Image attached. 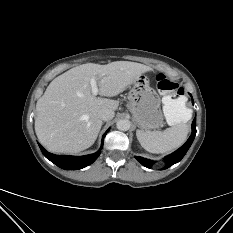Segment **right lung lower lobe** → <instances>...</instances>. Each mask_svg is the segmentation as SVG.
Masks as SVG:
<instances>
[{
  "label": "right lung lower lobe",
  "instance_id": "1",
  "mask_svg": "<svg viewBox=\"0 0 233 233\" xmlns=\"http://www.w3.org/2000/svg\"><path fill=\"white\" fill-rule=\"evenodd\" d=\"M109 130H107L102 137V144L105 135ZM43 155L49 159L52 163L56 164L58 167L65 170H78L82 169L90 164H92L100 155L101 151H98L94 154L86 155V156H68V155H54L52 153L47 152L39 143H38Z\"/></svg>",
  "mask_w": 233,
  "mask_h": 233
}]
</instances>
